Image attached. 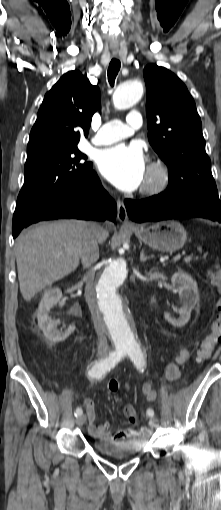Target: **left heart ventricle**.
Wrapping results in <instances>:
<instances>
[{"label": "left heart ventricle", "instance_id": "b2bd125f", "mask_svg": "<svg viewBox=\"0 0 221 510\" xmlns=\"http://www.w3.org/2000/svg\"><path fill=\"white\" fill-rule=\"evenodd\" d=\"M150 178H151V177H150V175L146 172V175H145V179H144L143 184H144V183H146V182H148V181L150 180Z\"/></svg>", "mask_w": 221, "mask_h": 510}]
</instances>
